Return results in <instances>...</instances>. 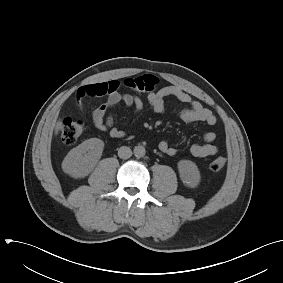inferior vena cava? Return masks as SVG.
<instances>
[{"mask_svg": "<svg viewBox=\"0 0 283 283\" xmlns=\"http://www.w3.org/2000/svg\"><path fill=\"white\" fill-rule=\"evenodd\" d=\"M118 156L121 159H128V158H130L132 156V151H131V149L129 147L122 146L118 150Z\"/></svg>", "mask_w": 283, "mask_h": 283, "instance_id": "602c4592", "label": "inferior vena cava"}]
</instances>
